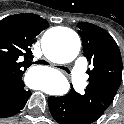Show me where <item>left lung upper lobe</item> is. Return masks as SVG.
I'll use <instances>...</instances> for the list:
<instances>
[{
    "label": "left lung upper lobe",
    "mask_w": 124,
    "mask_h": 124,
    "mask_svg": "<svg viewBox=\"0 0 124 124\" xmlns=\"http://www.w3.org/2000/svg\"><path fill=\"white\" fill-rule=\"evenodd\" d=\"M84 56L92 65L88 69L89 85L85 94L74 91L78 111L85 124L95 122L113 102L122 80L121 53L112 36L87 22L78 23Z\"/></svg>",
    "instance_id": "left-lung-upper-lobe-1"
}]
</instances>
